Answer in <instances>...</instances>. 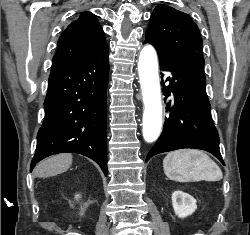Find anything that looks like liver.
Instances as JSON below:
<instances>
[{"instance_id": "liver-1", "label": "liver", "mask_w": 250, "mask_h": 235, "mask_svg": "<svg viewBox=\"0 0 250 235\" xmlns=\"http://www.w3.org/2000/svg\"><path fill=\"white\" fill-rule=\"evenodd\" d=\"M71 165V154H59L40 162L34 172L36 177H51L66 172Z\"/></svg>"}]
</instances>
